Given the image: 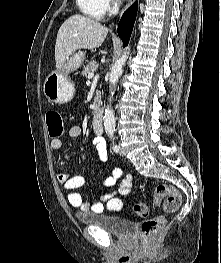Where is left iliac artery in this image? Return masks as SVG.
Returning <instances> with one entry per match:
<instances>
[{
  "instance_id": "44dca946",
  "label": "left iliac artery",
  "mask_w": 221,
  "mask_h": 263,
  "mask_svg": "<svg viewBox=\"0 0 221 263\" xmlns=\"http://www.w3.org/2000/svg\"><path fill=\"white\" fill-rule=\"evenodd\" d=\"M110 138L114 140L113 134H110ZM112 144H113V146H112L113 151H114V152H118L119 149H120L119 146H118L117 144H115L114 142H113Z\"/></svg>"
}]
</instances>
